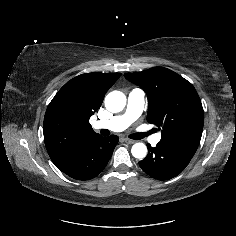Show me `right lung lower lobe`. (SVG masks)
I'll use <instances>...</instances> for the list:
<instances>
[{
	"label": "right lung lower lobe",
	"instance_id": "obj_1",
	"mask_svg": "<svg viewBox=\"0 0 236 236\" xmlns=\"http://www.w3.org/2000/svg\"><path fill=\"white\" fill-rule=\"evenodd\" d=\"M118 141L116 135L98 136L58 169L76 180L92 179L106 167Z\"/></svg>",
	"mask_w": 236,
	"mask_h": 236
}]
</instances>
